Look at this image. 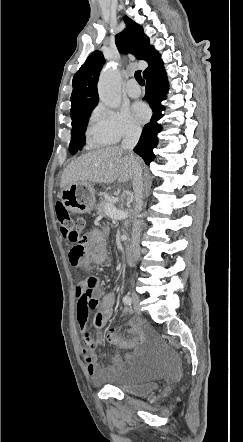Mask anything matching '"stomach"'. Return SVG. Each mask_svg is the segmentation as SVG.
<instances>
[{
    "label": "stomach",
    "instance_id": "stomach-1",
    "mask_svg": "<svg viewBox=\"0 0 243 442\" xmlns=\"http://www.w3.org/2000/svg\"><path fill=\"white\" fill-rule=\"evenodd\" d=\"M60 199L73 213H90L95 204V189L90 182L72 183L62 189Z\"/></svg>",
    "mask_w": 243,
    "mask_h": 442
}]
</instances>
